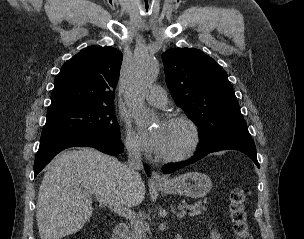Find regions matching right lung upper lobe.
Here are the masks:
<instances>
[{"label": "right lung upper lobe", "instance_id": "obj_1", "mask_svg": "<svg viewBox=\"0 0 304 239\" xmlns=\"http://www.w3.org/2000/svg\"><path fill=\"white\" fill-rule=\"evenodd\" d=\"M122 53L113 47L90 46L73 56L55 77L47 114L113 105Z\"/></svg>", "mask_w": 304, "mask_h": 239}]
</instances>
